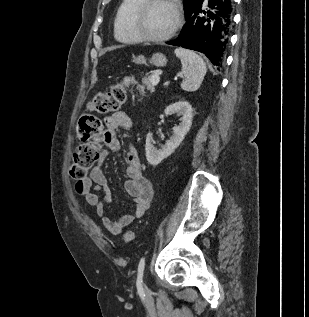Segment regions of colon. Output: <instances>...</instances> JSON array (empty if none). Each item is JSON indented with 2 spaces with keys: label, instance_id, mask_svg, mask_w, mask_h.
Wrapping results in <instances>:
<instances>
[{
  "label": "colon",
  "instance_id": "colon-1",
  "mask_svg": "<svg viewBox=\"0 0 309 317\" xmlns=\"http://www.w3.org/2000/svg\"><path fill=\"white\" fill-rule=\"evenodd\" d=\"M133 84H136L135 79L127 77L110 91L96 94L89 103V109L100 114L117 111L126 100L127 87ZM137 87L143 92L141 85ZM79 135L82 143L74 151L73 164L69 171L70 177L76 182L86 178L88 171L98 161L103 136L102 121L94 114L82 115L79 119ZM124 239L126 242L133 241V232L127 231Z\"/></svg>",
  "mask_w": 309,
  "mask_h": 317
}]
</instances>
